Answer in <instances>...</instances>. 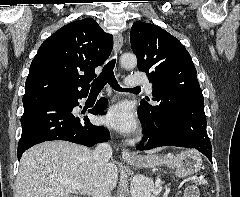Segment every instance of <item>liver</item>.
I'll return each mask as SVG.
<instances>
[{
  "instance_id": "6515ba94",
  "label": "liver",
  "mask_w": 240,
  "mask_h": 197,
  "mask_svg": "<svg viewBox=\"0 0 240 197\" xmlns=\"http://www.w3.org/2000/svg\"><path fill=\"white\" fill-rule=\"evenodd\" d=\"M65 181L82 184L77 190L79 195H93L99 183L111 192L117 185L118 169L113 162L99 166L86 146L67 141L44 142L22 155L15 197H77Z\"/></svg>"
}]
</instances>
